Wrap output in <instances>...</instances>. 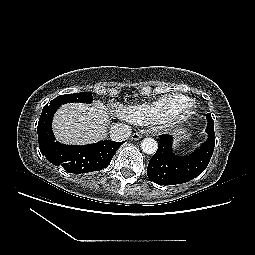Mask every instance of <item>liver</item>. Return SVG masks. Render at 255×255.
I'll use <instances>...</instances> for the list:
<instances>
[{"label":"liver","mask_w":255,"mask_h":255,"mask_svg":"<svg viewBox=\"0 0 255 255\" xmlns=\"http://www.w3.org/2000/svg\"><path fill=\"white\" fill-rule=\"evenodd\" d=\"M108 122L107 107L100 101L66 104L55 114L53 130L62 143L90 144L106 138Z\"/></svg>","instance_id":"obj_1"}]
</instances>
